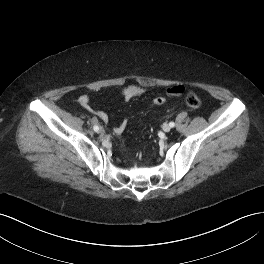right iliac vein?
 Returning a JSON list of instances; mask_svg holds the SVG:
<instances>
[{
    "label": "right iliac vein",
    "mask_w": 264,
    "mask_h": 264,
    "mask_svg": "<svg viewBox=\"0 0 264 264\" xmlns=\"http://www.w3.org/2000/svg\"><path fill=\"white\" fill-rule=\"evenodd\" d=\"M99 132H100L101 134H104V133H105V131H104V129H103L102 127H100Z\"/></svg>",
    "instance_id": "right-iliac-vein-1"
}]
</instances>
